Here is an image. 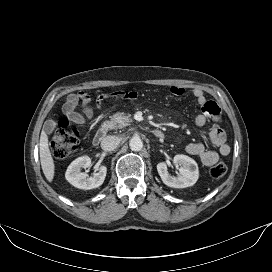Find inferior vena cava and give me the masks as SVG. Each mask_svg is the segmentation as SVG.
<instances>
[{
	"label": "inferior vena cava",
	"mask_w": 272,
	"mask_h": 272,
	"mask_svg": "<svg viewBox=\"0 0 272 272\" xmlns=\"http://www.w3.org/2000/svg\"><path fill=\"white\" fill-rule=\"evenodd\" d=\"M119 144L120 138L117 136L110 135L103 139V141L101 142V148L104 151H112L116 149Z\"/></svg>",
	"instance_id": "inferior-vena-cava-1"
}]
</instances>
